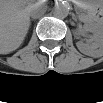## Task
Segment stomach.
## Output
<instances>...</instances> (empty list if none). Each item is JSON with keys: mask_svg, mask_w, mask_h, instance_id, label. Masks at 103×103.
I'll list each match as a JSON object with an SVG mask.
<instances>
[{"mask_svg": "<svg viewBox=\"0 0 103 103\" xmlns=\"http://www.w3.org/2000/svg\"><path fill=\"white\" fill-rule=\"evenodd\" d=\"M80 7L85 10H92V3L90 1H80Z\"/></svg>", "mask_w": 103, "mask_h": 103, "instance_id": "obj_1", "label": "stomach"}]
</instances>
